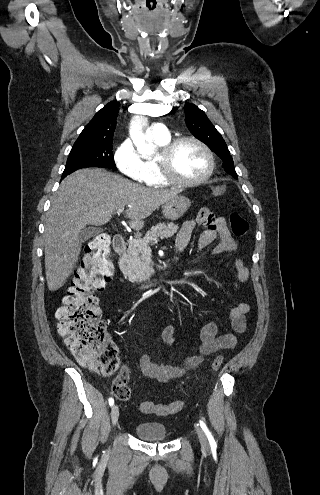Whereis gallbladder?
Returning a JSON list of instances; mask_svg holds the SVG:
<instances>
[{
    "instance_id": "gallbladder-1",
    "label": "gallbladder",
    "mask_w": 320,
    "mask_h": 495,
    "mask_svg": "<svg viewBox=\"0 0 320 495\" xmlns=\"http://www.w3.org/2000/svg\"><path fill=\"white\" fill-rule=\"evenodd\" d=\"M100 232H101L100 229L94 226H89L85 229H82L81 232L79 233V242H84L87 239L96 236Z\"/></svg>"
}]
</instances>
